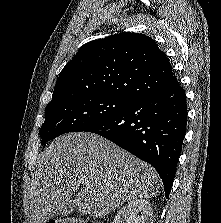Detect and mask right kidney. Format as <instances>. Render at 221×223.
<instances>
[{
	"mask_svg": "<svg viewBox=\"0 0 221 223\" xmlns=\"http://www.w3.org/2000/svg\"><path fill=\"white\" fill-rule=\"evenodd\" d=\"M152 217L153 210L148 200L140 198L123 206L117 212L113 223H153Z\"/></svg>",
	"mask_w": 221,
	"mask_h": 223,
	"instance_id": "right-kidney-1",
	"label": "right kidney"
}]
</instances>
